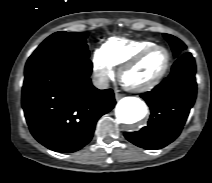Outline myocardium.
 <instances>
[{
  "label": "myocardium",
  "instance_id": "obj_1",
  "mask_svg": "<svg viewBox=\"0 0 212 183\" xmlns=\"http://www.w3.org/2000/svg\"><path fill=\"white\" fill-rule=\"evenodd\" d=\"M156 49H163L165 50L167 54V60L163 70L154 79H152L151 81L143 85L132 86V85L126 84L124 82V76L126 72L132 69L133 67H135L144 57H146L150 52ZM171 63H172V53L167 46L162 44L151 45L149 47L142 49L137 54H135L132 58H130L128 61H126L125 63L121 65L119 69V78L126 89L136 93H144L156 87L164 79V77L166 76V74L168 73L171 67Z\"/></svg>",
  "mask_w": 212,
  "mask_h": 183
}]
</instances>
